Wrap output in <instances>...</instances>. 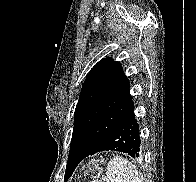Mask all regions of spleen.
<instances>
[{
    "instance_id": "1",
    "label": "spleen",
    "mask_w": 196,
    "mask_h": 182,
    "mask_svg": "<svg viewBox=\"0 0 196 182\" xmlns=\"http://www.w3.org/2000/svg\"><path fill=\"white\" fill-rule=\"evenodd\" d=\"M103 182H142V178L136 166L128 159L114 156L109 161Z\"/></svg>"
}]
</instances>
